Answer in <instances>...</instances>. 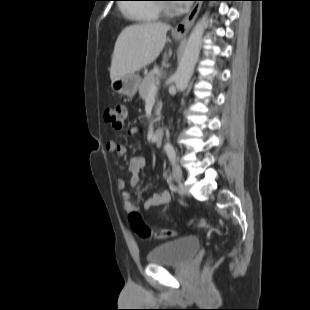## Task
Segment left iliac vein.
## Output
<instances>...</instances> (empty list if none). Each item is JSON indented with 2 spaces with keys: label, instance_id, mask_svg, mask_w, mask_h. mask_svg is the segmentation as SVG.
Segmentation results:
<instances>
[{
  "label": "left iliac vein",
  "instance_id": "4c4485c4",
  "mask_svg": "<svg viewBox=\"0 0 310 310\" xmlns=\"http://www.w3.org/2000/svg\"><path fill=\"white\" fill-rule=\"evenodd\" d=\"M173 177L176 182H181L183 178L182 170L176 163L173 164Z\"/></svg>",
  "mask_w": 310,
  "mask_h": 310
}]
</instances>
